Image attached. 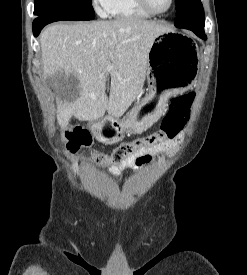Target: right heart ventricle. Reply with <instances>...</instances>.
<instances>
[{
    "mask_svg": "<svg viewBox=\"0 0 247 275\" xmlns=\"http://www.w3.org/2000/svg\"><path fill=\"white\" fill-rule=\"evenodd\" d=\"M108 15L122 20L151 17V14L139 5L138 0H110Z\"/></svg>",
    "mask_w": 247,
    "mask_h": 275,
    "instance_id": "obj_1",
    "label": "right heart ventricle"
}]
</instances>
